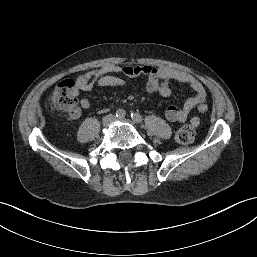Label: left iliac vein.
I'll return each instance as SVG.
<instances>
[{
    "label": "left iliac vein",
    "mask_w": 257,
    "mask_h": 257,
    "mask_svg": "<svg viewBox=\"0 0 257 257\" xmlns=\"http://www.w3.org/2000/svg\"><path fill=\"white\" fill-rule=\"evenodd\" d=\"M121 121H123V122H129V121H128L127 119H125V118H122ZM132 124H134V123H132Z\"/></svg>",
    "instance_id": "obj_1"
}]
</instances>
